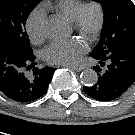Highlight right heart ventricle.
<instances>
[{
  "label": "right heart ventricle",
  "mask_w": 135,
  "mask_h": 135,
  "mask_svg": "<svg viewBox=\"0 0 135 135\" xmlns=\"http://www.w3.org/2000/svg\"><path fill=\"white\" fill-rule=\"evenodd\" d=\"M83 3L82 0H56L47 3L46 7L72 22Z\"/></svg>",
  "instance_id": "obj_1"
}]
</instances>
